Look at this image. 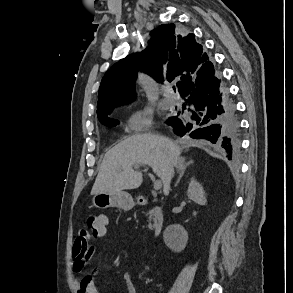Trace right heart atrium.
Masks as SVG:
<instances>
[{
	"mask_svg": "<svg viewBox=\"0 0 293 293\" xmlns=\"http://www.w3.org/2000/svg\"><path fill=\"white\" fill-rule=\"evenodd\" d=\"M153 125V116L149 110H138L127 120V128L130 131H143L150 129Z\"/></svg>",
	"mask_w": 293,
	"mask_h": 293,
	"instance_id": "d8ad5b80",
	"label": "right heart atrium"
}]
</instances>
